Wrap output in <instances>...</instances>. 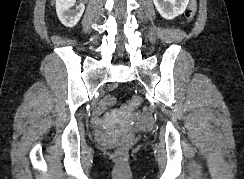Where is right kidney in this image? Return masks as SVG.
<instances>
[{
  "label": "right kidney",
  "instance_id": "right-kidney-1",
  "mask_svg": "<svg viewBox=\"0 0 244 179\" xmlns=\"http://www.w3.org/2000/svg\"><path fill=\"white\" fill-rule=\"evenodd\" d=\"M75 4V0H56L57 16L63 26H67V28L76 26L85 10L84 4H79L76 6V10H71Z\"/></svg>",
  "mask_w": 244,
  "mask_h": 179
}]
</instances>
